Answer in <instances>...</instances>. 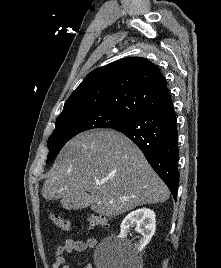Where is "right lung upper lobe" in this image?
Returning a JSON list of instances; mask_svg holds the SVG:
<instances>
[{
    "mask_svg": "<svg viewBox=\"0 0 221 268\" xmlns=\"http://www.w3.org/2000/svg\"><path fill=\"white\" fill-rule=\"evenodd\" d=\"M170 104L158 67L145 58L128 57L90 72L67 99L62 113L106 109L131 120Z\"/></svg>",
    "mask_w": 221,
    "mask_h": 268,
    "instance_id": "right-lung-upper-lobe-1",
    "label": "right lung upper lobe"
}]
</instances>
